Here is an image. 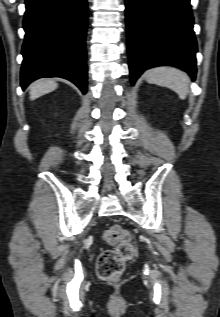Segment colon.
Instances as JSON below:
<instances>
[{
    "label": "colon",
    "instance_id": "1",
    "mask_svg": "<svg viewBox=\"0 0 220 317\" xmlns=\"http://www.w3.org/2000/svg\"><path fill=\"white\" fill-rule=\"evenodd\" d=\"M103 239L112 245V249L103 251L97 260V273L103 280H118L135 253L132 236L128 230L119 225H113L103 233Z\"/></svg>",
    "mask_w": 220,
    "mask_h": 317
}]
</instances>
